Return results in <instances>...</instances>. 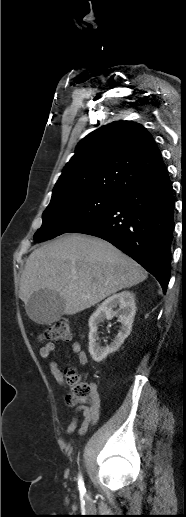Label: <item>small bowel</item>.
I'll list each match as a JSON object with an SVG mask.
<instances>
[{
  "mask_svg": "<svg viewBox=\"0 0 186 517\" xmlns=\"http://www.w3.org/2000/svg\"><path fill=\"white\" fill-rule=\"evenodd\" d=\"M57 344L54 342H50L42 346L39 350V355L44 360H49L51 353L56 349ZM72 351L77 356L78 361L81 366L85 367L88 363V357L87 354L83 351L81 344L79 342H74L72 344ZM49 368L50 372L53 375V377L56 379V381L59 384H64V376L63 372L55 361L49 362ZM94 387V402L90 407L87 406H79L77 408V412L81 413L83 416V420L81 422V425L79 427V434L83 435L87 432L88 428L94 424L97 423L99 419V412H100V403L98 400V394L96 391V386L93 384ZM79 418L78 415L74 416L71 421L69 422L66 433L68 435L72 434L78 427Z\"/></svg>",
  "mask_w": 186,
  "mask_h": 517,
  "instance_id": "obj_1",
  "label": "small bowel"
}]
</instances>
